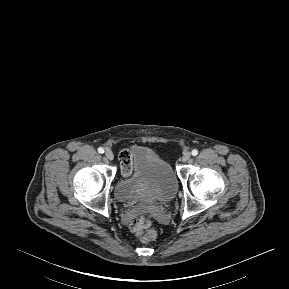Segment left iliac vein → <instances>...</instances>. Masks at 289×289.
Segmentation results:
<instances>
[{
  "label": "left iliac vein",
  "mask_w": 289,
  "mask_h": 289,
  "mask_svg": "<svg viewBox=\"0 0 289 289\" xmlns=\"http://www.w3.org/2000/svg\"><path fill=\"white\" fill-rule=\"evenodd\" d=\"M191 158V153L190 152H185L184 154H183V156H182V161L183 162H186V161H188L189 159Z\"/></svg>",
  "instance_id": "4c4485c4"
}]
</instances>
